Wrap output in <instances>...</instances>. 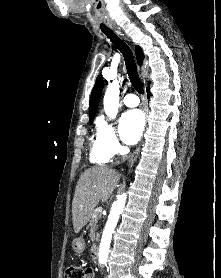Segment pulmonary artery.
Returning <instances> with one entry per match:
<instances>
[{
  "label": "pulmonary artery",
  "mask_w": 221,
  "mask_h": 278,
  "mask_svg": "<svg viewBox=\"0 0 221 278\" xmlns=\"http://www.w3.org/2000/svg\"><path fill=\"white\" fill-rule=\"evenodd\" d=\"M123 103L127 106V107H136L139 105L140 100L138 98L137 95L131 93V94H127L124 98H123Z\"/></svg>",
  "instance_id": "e3ab8cb5"
}]
</instances>
